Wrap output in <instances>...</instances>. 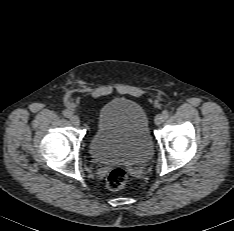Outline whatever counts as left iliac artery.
Wrapping results in <instances>:
<instances>
[{"label": "left iliac artery", "mask_w": 234, "mask_h": 231, "mask_svg": "<svg viewBox=\"0 0 234 231\" xmlns=\"http://www.w3.org/2000/svg\"><path fill=\"white\" fill-rule=\"evenodd\" d=\"M162 116H163V119H164V120L167 119V118L169 117V111H168V110H164V111L162 112Z\"/></svg>", "instance_id": "left-iliac-artery-1"}]
</instances>
